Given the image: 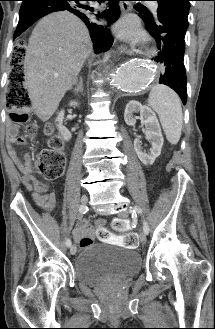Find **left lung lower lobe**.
<instances>
[{
  "mask_svg": "<svg viewBox=\"0 0 215 329\" xmlns=\"http://www.w3.org/2000/svg\"><path fill=\"white\" fill-rule=\"evenodd\" d=\"M145 16L141 17L146 23L147 30L155 39L159 51L155 60L163 67L159 83L176 91L185 105L187 88L184 52L187 28L164 15H157L155 19L149 15Z\"/></svg>",
  "mask_w": 215,
  "mask_h": 329,
  "instance_id": "0a47b994",
  "label": "left lung lower lobe"
}]
</instances>
